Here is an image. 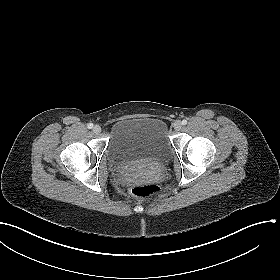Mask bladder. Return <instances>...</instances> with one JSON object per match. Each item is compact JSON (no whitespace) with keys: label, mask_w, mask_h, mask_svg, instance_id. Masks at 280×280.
I'll return each instance as SVG.
<instances>
[{"label":"bladder","mask_w":280,"mask_h":280,"mask_svg":"<svg viewBox=\"0 0 280 280\" xmlns=\"http://www.w3.org/2000/svg\"><path fill=\"white\" fill-rule=\"evenodd\" d=\"M171 144L166 123L159 118L140 117L117 121L110 133L107 159L113 165L149 159L164 161Z\"/></svg>","instance_id":"obj_1"}]
</instances>
